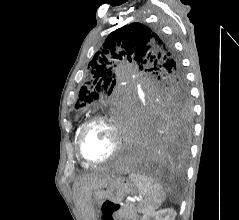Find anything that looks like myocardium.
<instances>
[{
	"instance_id": "f54148a6",
	"label": "myocardium",
	"mask_w": 239,
	"mask_h": 220,
	"mask_svg": "<svg viewBox=\"0 0 239 220\" xmlns=\"http://www.w3.org/2000/svg\"><path fill=\"white\" fill-rule=\"evenodd\" d=\"M99 123H104V124H108L111 126V128L113 129L115 136H116V144H115V148H114L113 152L108 157L101 159V160H92V159H89L85 155L84 150H83V143H84V138H85L88 130L95 124H99ZM122 145H123V138L121 135V131H120L118 125L116 124L114 118L104 116V115H97V116L91 118L89 121H87L80 129V132H79L78 138H77V150H78V154H79L80 158L86 164L93 165V166L101 165V164H104V163H107V162L113 160L116 157V155L119 153V151L121 150Z\"/></svg>"
}]
</instances>
